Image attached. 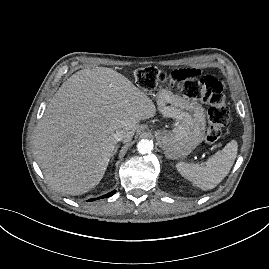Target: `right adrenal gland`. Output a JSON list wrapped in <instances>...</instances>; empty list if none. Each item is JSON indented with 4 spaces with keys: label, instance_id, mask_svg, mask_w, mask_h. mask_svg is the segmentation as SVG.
Masks as SVG:
<instances>
[{
    "label": "right adrenal gland",
    "instance_id": "right-adrenal-gland-1",
    "mask_svg": "<svg viewBox=\"0 0 269 269\" xmlns=\"http://www.w3.org/2000/svg\"><path fill=\"white\" fill-rule=\"evenodd\" d=\"M118 148H119V145L116 146V148H115V150H114V152L112 154V159H113V156L115 155V153L117 152Z\"/></svg>",
    "mask_w": 269,
    "mask_h": 269
}]
</instances>
